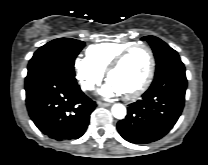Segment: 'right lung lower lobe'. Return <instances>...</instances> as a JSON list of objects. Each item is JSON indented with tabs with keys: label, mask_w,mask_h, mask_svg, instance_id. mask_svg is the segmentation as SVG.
Returning a JSON list of instances; mask_svg holds the SVG:
<instances>
[{
	"label": "right lung lower lobe",
	"mask_w": 208,
	"mask_h": 165,
	"mask_svg": "<svg viewBox=\"0 0 208 165\" xmlns=\"http://www.w3.org/2000/svg\"><path fill=\"white\" fill-rule=\"evenodd\" d=\"M28 113L37 128L62 141L81 137L96 103L87 97L75 76L46 69L25 80Z\"/></svg>",
	"instance_id": "right-lung-lower-lobe-1"
}]
</instances>
